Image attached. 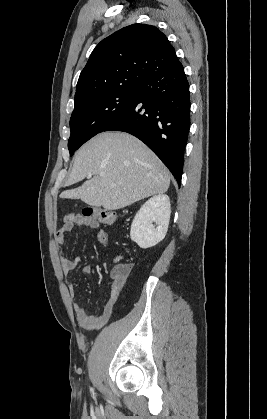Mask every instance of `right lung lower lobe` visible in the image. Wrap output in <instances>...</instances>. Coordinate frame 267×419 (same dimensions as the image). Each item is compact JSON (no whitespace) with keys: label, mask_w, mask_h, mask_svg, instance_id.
<instances>
[{"label":"right lung lower lobe","mask_w":267,"mask_h":419,"mask_svg":"<svg viewBox=\"0 0 267 419\" xmlns=\"http://www.w3.org/2000/svg\"><path fill=\"white\" fill-rule=\"evenodd\" d=\"M189 129V83L176 61L149 76L126 110L103 131H123L139 138L180 185Z\"/></svg>","instance_id":"98d812e1"}]
</instances>
